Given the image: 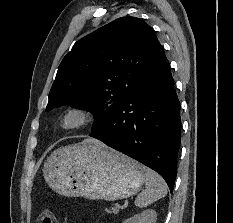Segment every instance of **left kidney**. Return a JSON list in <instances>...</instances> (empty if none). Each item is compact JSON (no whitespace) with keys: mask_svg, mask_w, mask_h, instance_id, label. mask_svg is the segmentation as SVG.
Returning a JSON list of instances; mask_svg holds the SVG:
<instances>
[{"mask_svg":"<svg viewBox=\"0 0 233 223\" xmlns=\"http://www.w3.org/2000/svg\"><path fill=\"white\" fill-rule=\"evenodd\" d=\"M156 217L155 209H145L142 213H136L133 217L125 219L123 223H156Z\"/></svg>","mask_w":233,"mask_h":223,"instance_id":"obj_1","label":"left kidney"}]
</instances>
